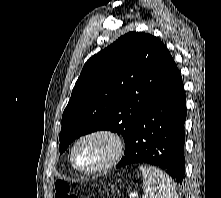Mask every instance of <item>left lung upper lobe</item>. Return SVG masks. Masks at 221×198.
<instances>
[{"mask_svg":"<svg viewBox=\"0 0 221 198\" xmlns=\"http://www.w3.org/2000/svg\"><path fill=\"white\" fill-rule=\"evenodd\" d=\"M174 61L156 37L130 32L84 65L62 116V154L81 135L97 130L130 138L143 111L163 86Z\"/></svg>","mask_w":221,"mask_h":198,"instance_id":"obj_1","label":"left lung upper lobe"}]
</instances>
